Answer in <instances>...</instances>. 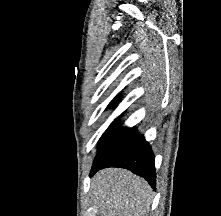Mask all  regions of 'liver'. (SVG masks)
<instances>
[{"label": "liver", "mask_w": 221, "mask_h": 216, "mask_svg": "<svg viewBox=\"0 0 221 216\" xmlns=\"http://www.w3.org/2000/svg\"><path fill=\"white\" fill-rule=\"evenodd\" d=\"M91 190L100 216H147L153 198L146 180L120 168L98 172Z\"/></svg>", "instance_id": "6515ba94"}]
</instances>
